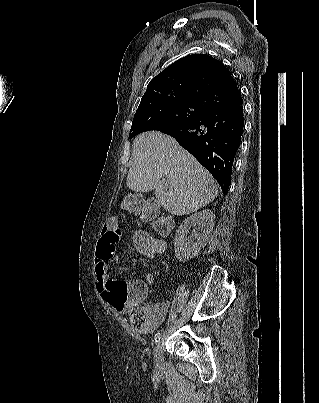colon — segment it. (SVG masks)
Listing matches in <instances>:
<instances>
[{
  "mask_svg": "<svg viewBox=\"0 0 319 403\" xmlns=\"http://www.w3.org/2000/svg\"><path fill=\"white\" fill-rule=\"evenodd\" d=\"M125 204L132 217L146 216L147 220L152 221L153 228L158 233L166 234L168 232L170 223L167 219L159 216V201H148L146 203L145 196L140 192H128ZM146 208H148L147 213ZM132 232L133 234H128L127 239L130 243V249H133V253L137 254L138 258H163L166 250L165 239H159L158 234H153L151 229H144L143 226H134Z\"/></svg>",
  "mask_w": 319,
  "mask_h": 403,
  "instance_id": "5ec220e1",
  "label": "colon"
}]
</instances>
